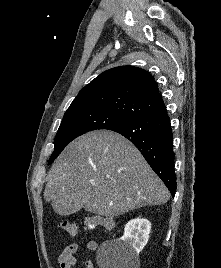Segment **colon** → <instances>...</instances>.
Wrapping results in <instances>:
<instances>
[{"instance_id":"5ec220e1","label":"colon","mask_w":221,"mask_h":268,"mask_svg":"<svg viewBox=\"0 0 221 268\" xmlns=\"http://www.w3.org/2000/svg\"><path fill=\"white\" fill-rule=\"evenodd\" d=\"M85 228L88 231H93L97 227H102L106 230H112L115 227V222L108 217L104 216H90L84 221ZM59 227L67 232L70 236H76L78 234V225L67 220L59 222Z\"/></svg>"}]
</instances>
